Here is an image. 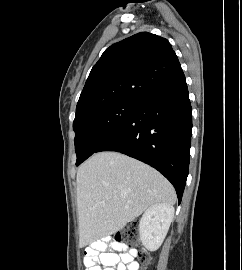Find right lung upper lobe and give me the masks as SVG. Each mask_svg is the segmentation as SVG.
<instances>
[{
	"label": "right lung upper lobe",
	"instance_id": "obj_1",
	"mask_svg": "<svg viewBox=\"0 0 242 270\" xmlns=\"http://www.w3.org/2000/svg\"><path fill=\"white\" fill-rule=\"evenodd\" d=\"M180 71L167 39L148 32L135 34L104 51L88 76L76 115L113 101H137Z\"/></svg>",
	"mask_w": 242,
	"mask_h": 270
}]
</instances>
